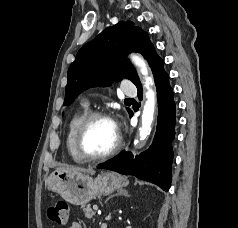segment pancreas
I'll use <instances>...</instances> for the list:
<instances>
[{"label": "pancreas", "mask_w": 238, "mask_h": 228, "mask_svg": "<svg viewBox=\"0 0 238 228\" xmlns=\"http://www.w3.org/2000/svg\"><path fill=\"white\" fill-rule=\"evenodd\" d=\"M81 208L83 209L85 217L87 219H92L95 215V212L91 209L90 205L82 206Z\"/></svg>", "instance_id": "obj_1"}]
</instances>
